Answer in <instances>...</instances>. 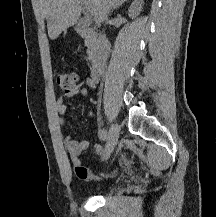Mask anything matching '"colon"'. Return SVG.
<instances>
[{
  "mask_svg": "<svg viewBox=\"0 0 216 217\" xmlns=\"http://www.w3.org/2000/svg\"><path fill=\"white\" fill-rule=\"evenodd\" d=\"M79 76L74 71H58L56 74V81L58 85L66 91L72 90L77 86Z\"/></svg>",
  "mask_w": 216,
  "mask_h": 217,
  "instance_id": "obj_1",
  "label": "colon"
}]
</instances>
